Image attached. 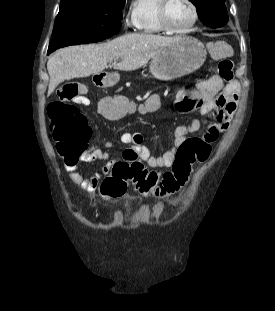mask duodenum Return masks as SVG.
I'll use <instances>...</instances> for the list:
<instances>
[{"label":"duodenum","mask_w":275,"mask_h":311,"mask_svg":"<svg viewBox=\"0 0 275 311\" xmlns=\"http://www.w3.org/2000/svg\"><path fill=\"white\" fill-rule=\"evenodd\" d=\"M103 75H106V70H100L99 74H92V84H96L98 86H102V84H107L108 78L104 77Z\"/></svg>","instance_id":"obj_1"}]
</instances>
